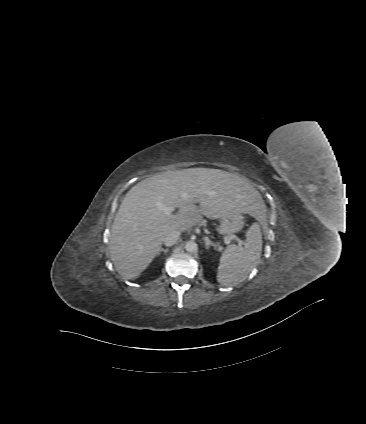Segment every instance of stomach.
<instances>
[{"mask_svg":"<svg viewBox=\"0 0 366 424\" xmlns=\"http://www.w3.org/2000/svg\"><path fill=\"white\" fill-rule=\"evenodd\" d=\"M242 213L228 215L221 218L218 232L221 235H230L238 232L244 225Z\"/></svg>","mask_w":366,"mask_h":424,"instance_id":"stomach-1","label":"stomach"}]
</instances>
